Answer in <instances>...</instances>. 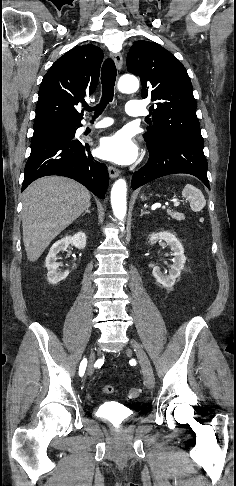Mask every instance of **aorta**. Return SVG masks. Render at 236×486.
Wrapping results in <instances>:
<instances>
[{
    "label": "aorta",
    "instance_id": "obj_1",
    "mask_svg": "<svg viewBox=\"0 0 236 486\" xmlns=\"http://www.w3.org/2000/svg\"><path fill=\"white\" fill-rule=\"evenodd\" d=\"M139 88V81L136 77L127 75L122 76L118 81V89L122 93H133ZM127 184L124 179H118L111 190V205L115 217L123 221L126 216L127 202H126Z\"/></svg>",
    "mask_w": 236,
    "mask_h": 486
}]
</instances>
